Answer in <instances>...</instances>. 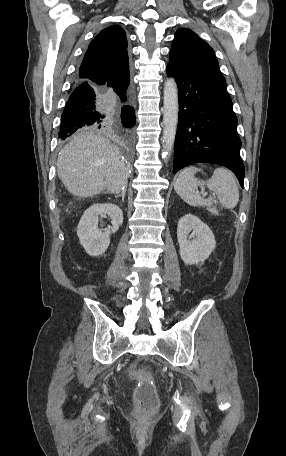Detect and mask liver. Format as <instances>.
<instances>
[{
  "label": "liver",
  "mask_w": 286,
  "mask_h": 456,
  "mask_svg": "<svg viewBox=\"0 0 286 456\" xmlns=\"http://www.w3.org/2000/svg\"><path fill=\"white\" fill-rule=\"evenodd\" d=\"M58 177L77 197H92L105 188L120 193L126 186L129 168L119 150L92 133L73 138L57 158Z\"/></svg>",
  "instance_id": "liver-1"
}]
</instances>
